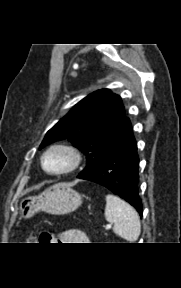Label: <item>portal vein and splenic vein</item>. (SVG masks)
<instances>
[{"label":"portal vein and splenic vein","mask_w":181,"mask_h":288,"mask_svg":"<svg viewBox=\"0 0 181 288\" xmlns=\"http://www.w3.org/2000/svg\"><path fill=\"white\" fill-rule=\"evenodd\" d=\"M112 227V224H107L106 229H110Z\"/></svg>","instance_id":"obj_1"}]
</instances>
